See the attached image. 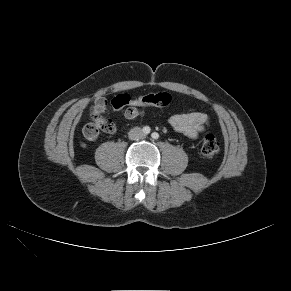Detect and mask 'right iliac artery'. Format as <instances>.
Wrapping results in <instances>:
<instances>
[{"label":"right iliac artery","instance_id":"82829eb1","mask_svg":"<svg viewBox=\"0 0 291 291\" xmlns=\"http://www.w3.org/2000/svg\"><path fill=\"white\" fill-rule=\"evenodd\" d=\"M150 131H151V129H150L149 126H145V127H143V132H144V134H149Z\"/></svg>","mask_w":291,"mask_h":291}]
</instances>
